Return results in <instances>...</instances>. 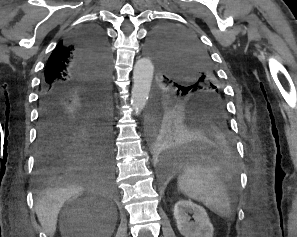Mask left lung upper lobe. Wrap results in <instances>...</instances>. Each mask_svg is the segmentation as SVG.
<instances>
[{
	"label": "left lung upper lobe",
	"mask_w": 297,
	"mask_h": 237,
	"mask_svg": "<svg viewBox=\"0 0 297 237\" xmlns=\"http://www.w3.org/2000/svg\"><path fill=\"white\" fill-rule=\"evenodd\" d=\"M149 50L173 103H212L227 115L210 57L194 35L174 26L158 27L150 37Z\"/></svg>",
	"instance_id": "left-lung-upper-lobe-1"
}]
</instances>
